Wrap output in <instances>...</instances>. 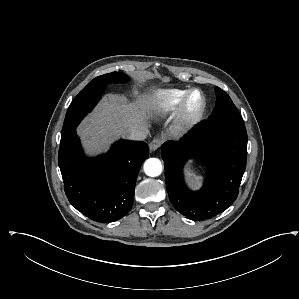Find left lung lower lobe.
Listing matches in <instances>:
<instances>
[{
	"label": "left lung lower lobe",
	"instance_id": "1",
	"mask_svg": "<svg viewBox=\"0 0 299 299\" xmlns=\"http://www.w3.org/2000/svg\"><path fill=\"white\" fill-rule=\"evenodd\" d=\"M169 199L175 209L191 220H205L226 210L237 198L246 168L247 132L244 122L208 119L195 125L180 141L161 146ZM197 153L210 159L203 187H185L182 168Z\"/></svg>",
	"mask_w": 299,
	"mask_h": 299
}]
</instances>
